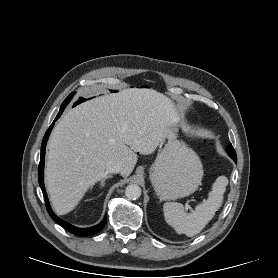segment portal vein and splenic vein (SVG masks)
Returning <instances> with one entry per match:
<instances>
[{
	"label": "portal vein and splenic vein",
	"mask_w": 278,
	"mask_h": 278,
	"mask_svg": "<svg viewBox=\"0 0 278 278\" xmlns=\"http://www.w3.org/2000/svg\"><path fill=\"white\" fill-rule=\"evenodd\" d=\"M185 207H186L187 210H192V208L188 204H186Z\"/></svg>",
	"instance_id": "portal-vein-and-splenic-vein-1"
}]
</instances>
